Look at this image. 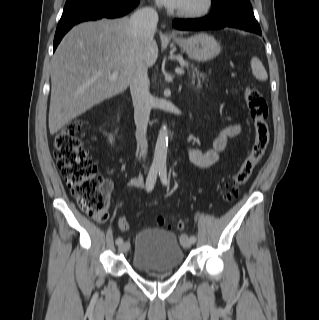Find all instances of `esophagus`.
I'll use <instances>...</instances> for the list:
<instances>
[{
	"mask_svg": "<svg viewBox=\"0 0 319 320\" xmlns=\"http://www.w3.org/2000/svg\"><path fill=\"white\" fill-rule=\"evenodd\" d=\"M173 35H174L173 33L169 32V36H173Z\"/></svg>",
	"mask_w": 319,
	"mask_h": 320,
	"instance_id": "esophagus-1",
	"label": "esophagus"
}]
</instances>
